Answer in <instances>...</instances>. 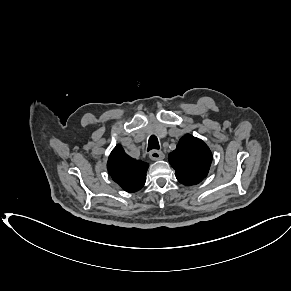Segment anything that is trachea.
I'll return each instance as SVG.
<instances>
[{"mask_svg": "<svg viewBox=\"0 0 291 291\" xmlns=\"http://www.w3.org/2000/svg\"><path fill=\"white\" fill-rule=\"evenodd\" d=\"M159 142L158 139L155 135L150 136L149 141H148V148L147 151H150L152 149H159Z\"/></svg>", "mask_w": 291, "mask_h": 291, "instance_id": "obj_1", "label": "trachea"}]
</instances>
